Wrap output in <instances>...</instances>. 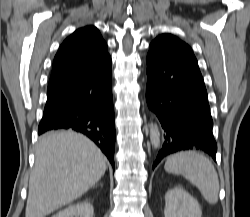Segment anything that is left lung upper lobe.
<instances>
[{
    "label": "left lung upper lobe",
    "mask_w": 250,
    "mask_h": 217,
    "mask_svg": "<svg viewBox=\"0 0 250 217\" xmlns=\"http://www.w3.org/2000/svg\"><path fill=\"white\" fill-rule=\"evenodd\" d=\"M152 43H163L169 47L184 50L193 54L192 49L186 43L182 42L181 40L170 34H162L158 36Z\"/></svg>",
    "instance_id": "5c2ea615"
}]
</instances>
